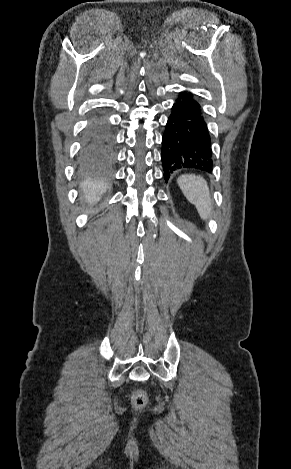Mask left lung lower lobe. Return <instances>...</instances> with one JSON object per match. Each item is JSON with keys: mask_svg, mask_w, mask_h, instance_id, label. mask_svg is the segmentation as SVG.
Instances as JSON below:
<instances>
[{"mask_svg": "<svg viewBox=\"0 0 291 469\" xmlns=\"http://www.w3.org/2000/svg\"><path fill=\"white\" fill-rule=\"evenodd\" d=\"M164 178L182 168L211 172V139L200 105L192 94L180 93L172 107L162 138Z\"/></svg>", "mask_w": 291, "mask_h": 469, "instance_id": "left-lung-lower-lobe-1", "label": "left lung lower lobe"}]
</instances>
